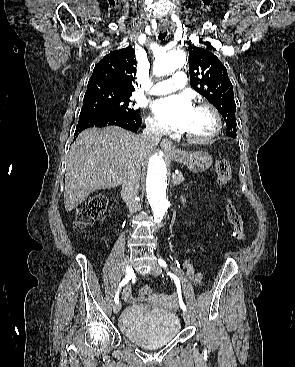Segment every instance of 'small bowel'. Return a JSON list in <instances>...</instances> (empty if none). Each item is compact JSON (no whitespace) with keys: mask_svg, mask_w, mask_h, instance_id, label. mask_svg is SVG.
<instances>
[{"mask_svg":"<svg viewBox=\"0 0 295 367\" xmlns=\"http://www.w3.org/2000/svg\"><path fill=\"white\" fill-rule=\"evenodd\" d=\"M184 267H185L187 273L192 277L193 281L196 284H200L201 281H202L203 274L201 272H195L194 265H193V260L192 259H188L185 262ZM125 296L127 298L129 297V291L128 290H125Z\"/></svg>","mask_w":295,"mask_h":367,"instance_id":"obj_1","label":"small bowel"}]
</instances>
